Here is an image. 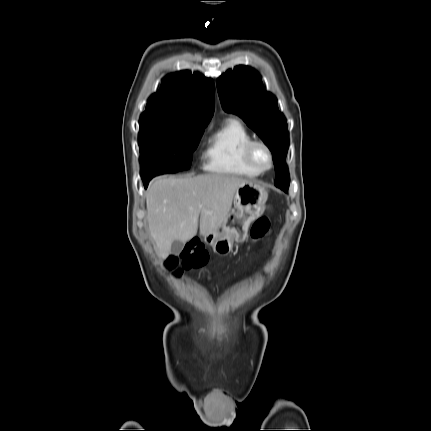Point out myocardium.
Returning a JSON list of instances; mask_svg holds the SVG:
<instances>
[{
	"label": "myocardium",
	"instance_id": "myocardium-1",
	"mask_svg": "<svg viewBox=\"0 0 431 431\" xmlns=\"http://www.w3.org/2000/svg\"><path fill=\"white\" fill-rule=\"evenodd\" d=\"M256 147H262L268 154V163L266 165L258 164L254 159V150ZM243 158L245 162L252 168L258 170L259 172H265L270 170L274 165V155L267 143L261 140H251L249 141L243 150Z\"/></svg>",
	"mask_w": 431,
	"mask_h": 431
}]
</instances>
